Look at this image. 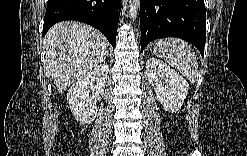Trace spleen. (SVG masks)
Listing matches in <instances>:
<instances>
[{
  "instance_id": "spleen-1",
  "label": "spleen",
  "mask_w": 247,
  "mask_h": 156,
  "mask_svg": "<svg viewBox=\"0 0 247 156\" xmlns=\"http://www.w3.org/2000/svg\"><path fill=\"white\" fill-rule=\"evenodd\" d=\"M154 52L171 66L178 69L190 82L198 78V63L190 45L178 38H165L157 41Z\"/></svg>"
}]
</instances>
